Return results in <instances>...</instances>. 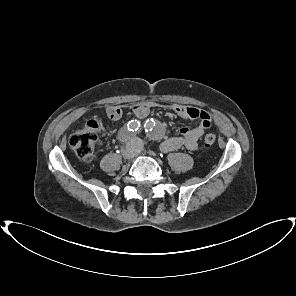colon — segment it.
Instances as JSON below:
<instances>
[{
  "label": "colon",
  "instance_id": "1",
  "mask_svg": "<svg viewBox=\"0 0 296 296\" xmlns=\"http://www.w3.org/2000/svg\"><path fill=\"white\" fill-rule=\"evenodd\" d=\"M99 126L96 121H88L82 128L75 130L69 137V146L83 162H90L95 157V146L98 140ZM216 142L213 134L204 137L205 146Z\"/></svg>",
  "mask_w": 296,
  "mask_h": 296
}]
</instances>
